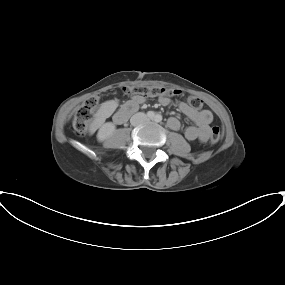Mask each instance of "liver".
<instances>
[{
    "label": "liver",
    "instance_id": "6515ba94",
    "mask_svg": "<svg viewBox=\"0 0 285 285\" xmlns=\"http://www.w3.org/2000/svg\"><path fill=\"white\" fill-rule=\"evenodd\" d=\"M93 131H94V128L92 127V128H91V132H93Z\"/></svg>",
    "mask_w": 285,
    "mask_h": 285
}]
</instances>
